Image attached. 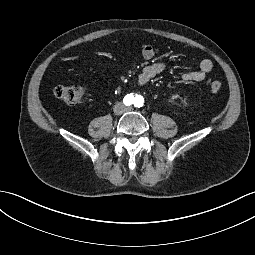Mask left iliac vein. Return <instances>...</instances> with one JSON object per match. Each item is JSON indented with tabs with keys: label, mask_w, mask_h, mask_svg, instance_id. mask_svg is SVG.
Wrapping results in <instances>:
<instances>
[{
	"label": "left iliac vein",
	"mask_w": 255,
	"mask_h": 255,
	"mask_svg": "<svg viewBox=\"0 0 255 255\" xmlns=\"http://www.w3.org/2000/svg\"><path fill=\"white\" fill-rule=\"evenodd\" d=\"M127 110H131V108H127Z\"/></svg>",
	"instance_id": "left-iliac-vein-1"
}]
</instances>
